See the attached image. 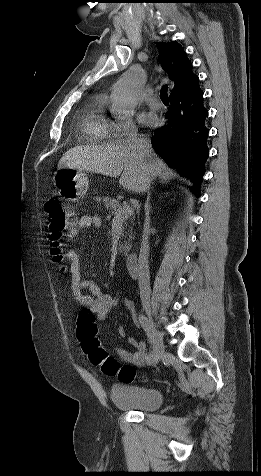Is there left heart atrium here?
Instances as JSON below:
<instances>
[{
  "mask_svg": "<svg viewBox=\"0 0 261 476\" xmlns=\"http://www.w3.org/2000/svg\"><path fill=\"white\" fill-rule=\"evenodd\" d=\"M140 122L143 124H152L154 122V117L151 114H141Z\"/></svg>",
  "mask_w": 261,
  "mask_h": 476,
  "instance_id": "left-heart-atrium-1",
  "label": "left heart atrium"
}]
</instances>
